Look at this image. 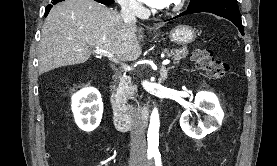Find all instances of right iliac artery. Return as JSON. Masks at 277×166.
Listing matches in <instances>:
<instances>
[{"instance_id":"obj_1","label":"right iliac artery","mask_w":277,"mask_h":166,"mask_svg":"<svg viewBox=\"0 0 277 166\" xmlns=\"http://www.w3.org/2000/svg\"><path fill=\"white\" fill-rule=\"evenodd\" d=\"M152 154H148V159L150 160L152 158Z\"/></svg>"}]
</instances>
